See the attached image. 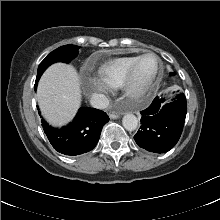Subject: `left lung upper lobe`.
<instances>
[{
  "label": "left lung upper lobe",
  "instance_id": "5c2ea615",
  "mask_svg": "<svg viewBox=\"0 0 220 220\" xmlns=\"http://www.w3.org/2000/svg\"><path fill=\"white\" fill-rule=\"evenodd\" d=\"M170 75H174V73H170Z\"/></svg>",
  "mask_w": 220,
  "mask_h": 220
}]
</instances>
